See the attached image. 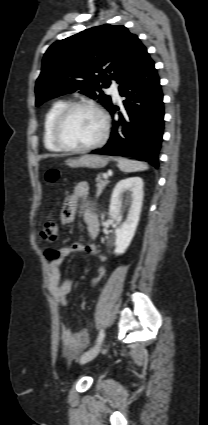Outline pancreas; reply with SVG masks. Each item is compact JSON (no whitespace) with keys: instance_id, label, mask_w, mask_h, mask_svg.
<instances>
[{"instance_id":"cf45deb5","label":"pancreas","mask_w":208,"mask_h":425,"mask_svg":"<svg viewBox=\"0 0 208 425\" xmlns=\"http://www.w3.org/2000/svg\"><path fill=\"white\" fill-rule=\"evenodd\" d=\"M96 187H97V191H96V197H99L103 191V189L106 187V185L109 183L108 180H102L100 176L97 177L96 179Z\"/></svg>"}]
</instances>
